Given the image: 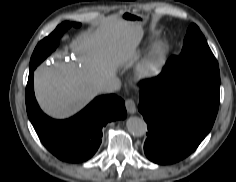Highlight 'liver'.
I'll return each instance as SVG.
<instances>
[{"instance_id":"liver-1","label":"liver","mask_w":236,"mask_h":182,"mask_svg":"<svg viewBox=\"0 0 236 182\" xmlns=\"http://www.w3.org/2000/svg\"><path fill=\"white\" fill-rule=\"evenodd\" d=\"M142 36L140 25L116 16L78 36L70 47L83 60L82 66L71 67L60 61L57 66L43 64L35 71V93L41 108L55 118L78 112L100 92L105 79L115 76L121 65L137 59Z\"/></svg>"}]
</instances>
